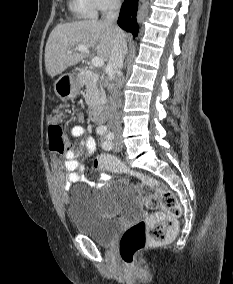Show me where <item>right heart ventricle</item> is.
Segmentation results:
<instances>
[{"label": "right heart ventricle", "instance_id": "1", "mask_svg": "<svg viewBox=\"0 0 233 284\" xmlns=\"http://www.w3.org/2000/svg\"><path fill=\"white\" fill-rule=\"evenodd\" d=\"M71 8L82 18L94 19L97 16L92 0H72Z\"/></svg>", "mask_w": 233, "mask_h": 284}]
</instances>
